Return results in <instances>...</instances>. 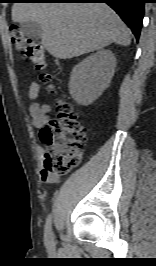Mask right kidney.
<instances>
[{
	"instance_id": "right-kidney-1",
	"label": "right kidney",
	"mask_w": 156,
	"mask_h": 266,
	"mask_svg": "<svg viewBox=\"0 0 156 266\" xmlns=\"http://www.w3.org/2000/svg\"><path fill=\"white\" fill-rule=\"evenodd\" d=\"M116 58L110 50H101L85 58L71 72L69 92L79 104L87 106L108 87L115 71Z\"/></svg>"
}]
</instances>
